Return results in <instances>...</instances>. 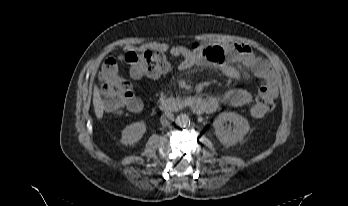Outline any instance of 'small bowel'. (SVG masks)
Listing matches in <instances>:
<instances>
[{
	"instance_id": "obj_1",
	"label": "small bowel",
	"mask_w": 348,
	"mask_h": 206,
	"mask_svg": "<svg viewBox=\"0 0 348 206\" xmlns=\"http://www.w3.org/2000/svg\"><path fill=\"white\" fill-rule=\"evenodd\" d=\"M148 47L169 51L173 56L180 58L179 70L181 71L190 70L195 66L206 67L213 65L222 74L234 80H241L242 73L232 66L230 62H240L256 76L266 79L274 93L277 90L276 75L272 66L265 59L257 56L251 47L246 44L238 42L225 45L195 43L190 47H186L155 42L149 44ZM212 100L214 101V106L210 112L215 111L219 103L230 106L248 104L252 101V95L245 89L234 88L226 91L220 99L213 98Z\"/></svg>"
}]
</instances>
